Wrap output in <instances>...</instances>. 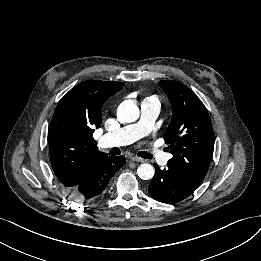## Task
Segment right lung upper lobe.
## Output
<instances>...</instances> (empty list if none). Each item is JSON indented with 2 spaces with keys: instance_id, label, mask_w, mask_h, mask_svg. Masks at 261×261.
I'll return each mask as SVG.
<instances>
[{
  "instance_id": "right-lung-upper-lobe-1",
  "label": "right lung upper lobe",
  "mask_w": 261,
  "mask_h": 261,
  "mask_svg": "<svg viewBox=\"0 0 261 261\" xmlns=\"http://www.w3.org/2000/svg\"><path fill=\"white\" fill-rule=\"evenodd\" d=\"M124 86L121 82L87 80L72 88L58 103L48 131L49 154L63 186L77 185L93 159L104 154L93 139L101 126L104 102Z\"/></svg>"
}]
</instances>
